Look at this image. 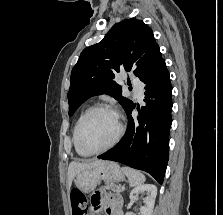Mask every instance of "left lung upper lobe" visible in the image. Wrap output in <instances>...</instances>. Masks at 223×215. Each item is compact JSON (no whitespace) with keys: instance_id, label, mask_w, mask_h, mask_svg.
Instances as JSON below:
<instances>
[{"instance_id":"obj_1","label":"left lung upper lobe","mask_w":223,"mask_h":215,"mask_svg":"<svg viewBox=\"0 0 223 215\" xmlns=\"http://www.w3.org/2000/svg\"><path fill=\"white\" fill-rule=\"evenodd\" d=\"M152 30L135 18L116 23L97 44L85 48L71 72L68 92L69 116L88 98L98 94L113 96L125 111L132 101L122 97L115 73L124 69L142 80L161 61Z\"/></svg>"}]
</instances>
